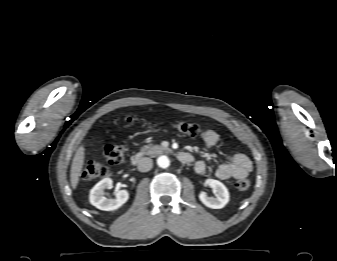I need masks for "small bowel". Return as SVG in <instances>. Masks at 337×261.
I'll use <instances>...</instances> for the list:
<instances>
[{
    "instance_id": "small-bowel-1",
    "label": "small bowel",
    "mask_w": 337,
    "mask_h": 261,
    "mask_svg": "<svg viewBox=\"0 0 337 261\" xmlns=\"http://www.w3.org/2000/svg\"><path fill=\"white\" fill-rule=\"evenodd\" d=\"M219 141V134L212 130H206L204 136L205 145L211 148ZM207 166L204 161H197L195 163V171L197 174L203 175L206 173ZM252 170V162L249 157L243 153H236L227 163L221 164L215 172V175L220 180H227L230 178L241 179L249 175Z\"/></svg>"
}]
</instances>
